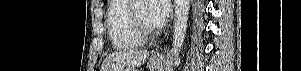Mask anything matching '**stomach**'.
Instances as JSON below:
<instances>
[{"label":"stomach","mask_w":301,"mask_h":71,"mask_svg":"<svg viewBox=\"0 0 301 71\" xmlns=\"http://www.w3.org/2000/svg\"><path fill=\"white\" fill-rule=\"evenodd\" d=\"M164 65H165L164 60L159 59L156 56H152L147 63V67L151 71H163ZM123 71H140V70L136 68H131V69H124Z\"/></svg>","instance_id":"obj_1"}]
</instances>
